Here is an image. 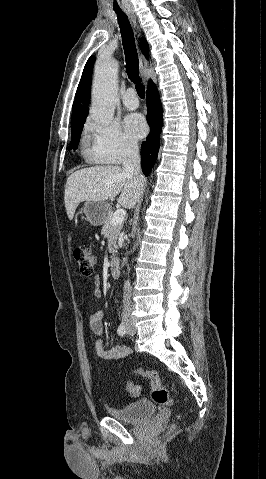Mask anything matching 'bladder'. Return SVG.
<instances>
[{"instance_id":"1","label":"bladder","mask_w":266,"mask_h":479,"mask_svg":"<svg viewBox=\"0 0 266 479\" xmlns=\"http://www.w3.org/2000/svg\"><path fill=\"white\" fill-rule=\"evenodd\" d=\"M109 416L118 419L124 423H139L156 413V406L149 400H138L127 403L122 407H109L107 409Z\"/></svg>"}]
</instances>
